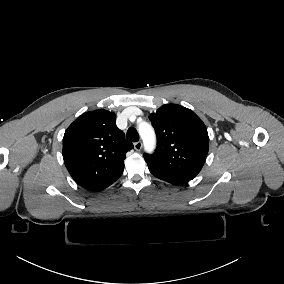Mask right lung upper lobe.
Here are the masks:
<instances>
[{
  "mask_svg": "<svg viewBox=\"0 0 284 284\" xmlns=\"http://www.w3.org/2000/svg\"><path fill=\"white\" fill-rule=\"evenodd\" d=\"M133 144L116 126V116L104 109L86 112L65 131L63 159L72 178L83 188L100 191L123 173Z\"/></svg>",
  "mask_w": 284,
  "mask_h": 284,
  "instance_id": "right-lung-upper-lobe-1",
  "label": "right lung upper lobe"
}]
</instances>
